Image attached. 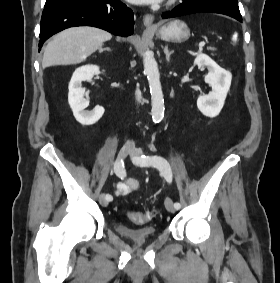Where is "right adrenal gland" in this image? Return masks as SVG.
<instances>
[{"label": "right adrenal gland", "mask_w": 280, "mask_h": 283, "mask_svg": "<svg viewBox=\"0 0 280 283\" xmlns=\"http://www.w3.org/2000/svg\"><path fill=\"white\" fill-rule=\"evenodd\" d=\"M103 51H111V49L109 47L103 48V49H99V52L102 53Z\"/></svg>", "instance_id": "1"}]
</instances>
